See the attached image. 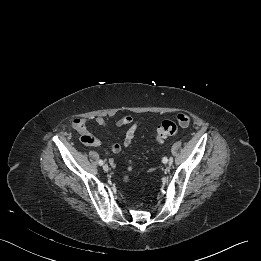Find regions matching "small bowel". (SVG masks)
<instances>
[{"label": "small bowel", "mask_w": 261, "mask_h": 261, "mask_svg": "<svg viewBox=\"0 0 261 261\" xmlns=\"http://www.w3.org/2000/svg\"><path fill=\"white\" fill-rule=\"evenodd\" d=\"M177 116L186 117L190 122V118L187 114L180 113ZM93 121L101 127L107 126L106 120L102 117H95V118H93ZM140 122H141L140 117L133 118L132 116H129V115L122 116L116 121L117 126H127L128 129L125 133L124 140H123L122 144L113 143V144L110 145V150L113 153L120 152L122 147H128L132 143ZM189 122H188L187 125H181V126L187 127L189 125ZM72 127L80 135V140L84 145L95 146V147H101L102 146L101 140L98 137H96L95 135H93L88 130L86 119H84V118L73 119Z\"/></svg>", "instance_id": "obj_1"}]
</instances>
